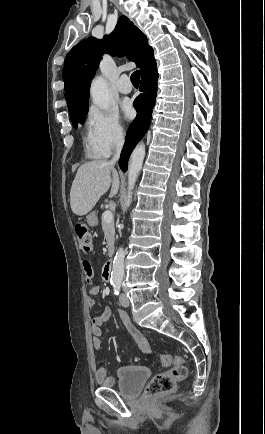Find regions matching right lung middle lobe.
I'll return each mask as SVG.
<instances>
[{
    "label": "right lung middle lobe",
    "mask_w": 265,
    "mask_h": 434,
    "mask_svg": "<svg viewBox=\"0 0 265 434\" xmlns=\"http://www.w3.org/2000/svg\"><path fill=\"white\" fill-rule=\"evenodd\" d=\"M67 105L73 125L77 127L78 123L84 124L89 107L88 98L68 103Z\"/></svg>",
    "instance_id": "obj_1"
}]
</instances>
